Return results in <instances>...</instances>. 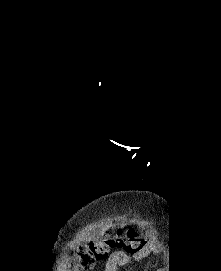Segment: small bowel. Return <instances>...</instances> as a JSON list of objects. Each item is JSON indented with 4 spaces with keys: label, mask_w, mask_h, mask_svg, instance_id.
Listing matches in <instances>:
<instances>
[{
    "label": "small bowel",
    "mask_w": 221,
    "mask_h": 271,
    "mask_svg": "<svg viewBox=\"0 0 221 271\" xmlns=\"http://www.w3.org/2000/svg\"><path fill=\"white\" fill-rule=\"evenodd\" d=\"M155 250L154 245H147L131 254L116 251L111 254L106 265V271H117L119 267L128 266L132 262H137L147 257Z\"/></svg>",
    "instance_id": "c3829d8e"
}]
</instances>
